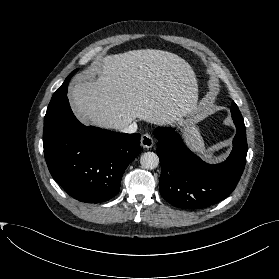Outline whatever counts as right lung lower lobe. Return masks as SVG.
Wrapping results in <instances>:
<instances>
[{
	"label": "right lung lower lobe",
	"instance_id": "right-lung-lower-lobe-1",
	"mask_svg": "<svg viewBox=\"0 0 279 279\" xmlns=\"http://www.w3.org/2000/svg\"><path fill=\"white\" fill-rule=\"evenodd\" d=\"M43 147L54 180L84 203L115 197L125 169L141 152L138 133H116L81 124L66 95L46 112Z\"/></svg>",
	"mask_w": 279,
	"mask_h": 279
}]
</instances>
